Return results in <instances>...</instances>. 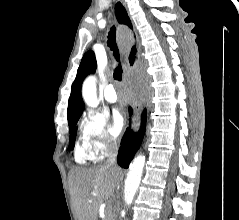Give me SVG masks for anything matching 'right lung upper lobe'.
Listing matches in <instances>:
<instances>
[{"mask_svg": "<svg viewBox=\"0 0 239 220\" xmlns=\"http://www.w3.org/2000/svg\"><path fill=\"white\" fill-rule=\"evenodd\" d=\"M96 70V60L94 53L88 51L82 58L77 76L71 87V94L68 101L67 118L68 123L79 118L85 108L82 96L81 86L85 77Z\"/></svg>", "mask_w": 239, "mask_h": 220, "instance_id": "obj_1", "label": "right lung upper lobe"}]
</instances>
